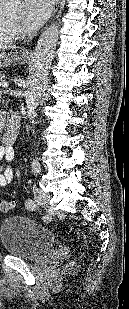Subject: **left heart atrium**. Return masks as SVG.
Returning <instances> with one entry per match:
<instances>
[{
	"instance_id": "39dd6f15",
	"label": "left heart atrium",
	"mask_w": 129,
	"mask_h": 309,
	"mask_svg": "<svg viewBox=\"0 0 129 309\" xmlns=\"http://www.w3.org/2000/svg\"><path fill=\"white\" fill-rule=\"evenodd\" d=\"M53 0H24L22 25L27 30L39 28L50 14Z\"/></svg>"
}]
</instances>
